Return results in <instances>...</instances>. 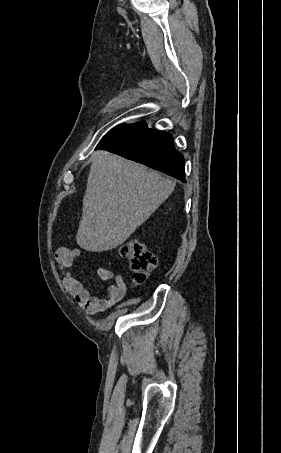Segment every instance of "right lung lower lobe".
<instances>
[{
	"mask_svg": "<svg viewBox=\"0 0 281 453\" xmlns=\"http://www.w3.org/2000/svg\"><path fill=\"white\" fill-rule=\"evenodd\" d=\"M97 149L108 150L185 182L184 157L174 148L172 135L149 129L144 122L114 127Z\"/></svg>",
	"mask_w": 281,
	"mask_h": 453,
	"instance_id": "1",
	"label": "right lung lower lobe"
}]
</instances>
